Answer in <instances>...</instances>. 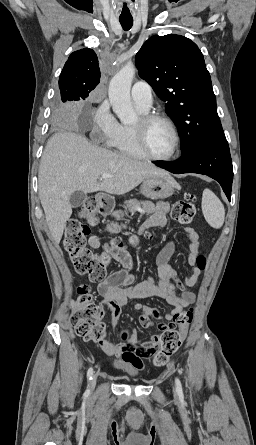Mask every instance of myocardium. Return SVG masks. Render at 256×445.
<instances>
[{
  "instance_id": "obj_1",
  "label": "myocardium",
  "mask_w": 256,
  "mask_h": 445,
  "mask_svg": "<svg viewBox=\"0 0 256 445\" xmlns=\"http://www.w3.org/2000/svg\"><path fill=\"white\" fill-rule=\"evenodd\" d=\"M164 122L172 130L174 136V146L172 152L167 156L154 155L147 145L146 129L153 122ZM132 133L136 142V145L140 152L148 159L153 161H170L175 158L180 150L181 138L176 124L167 116L160 114H144L140 117L139 123L132 126Z\"/></svg>"
}]
</instances>
